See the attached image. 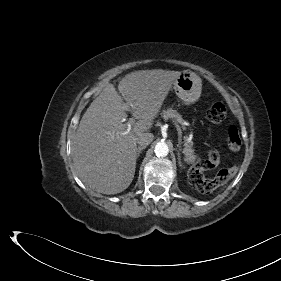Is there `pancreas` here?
<instances>
[{"instance_id": "1", "label": "pancreas", "mask_w": 281, "mask_h": 281, "mask_svg": "<svg viewBox=\"0 0 281 281\" xmlns=\"http://www.w3.org/2000/svg\"><path fill=\"white\" fill-rule=\"evenodd\" d=\"M161 115L164 120L171 119L175 123L181 124L183 129H186V127L184 125L185 120L182 118V116L176 110H173L172 108H168L166 110H163ZM194 151L195 150L193 148V142L189 141V138L187 136H185L183 153L185 155L186 162L188 164H192L193 168L199 163L198 157Z\"/></svg>"}]
</instances>
